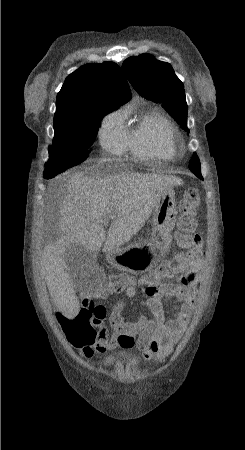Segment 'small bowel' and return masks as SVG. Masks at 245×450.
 <instances>
[{
	"label": "small bowel",
	"instance_id": "c3829d8e",
	"mask_svg": "<svg viewBox=\"0 0 245 450\" xmlns=\"http://www.w3.org/2000/svg\"><path fill=\"white\" fill-rule=\"evenodd\" d=\"M204 256L203 250H189L174 264L166 265L163 272L134 280L133 284L124 288L128 297H134L138 292L145 294L144 304L153 314V318L140 316L133 322H126L122 315L125 303L117 302L109 318L111 331H109L108 325L102 322L97 327V336L94 342L83 344L71 342L85 357L90 358L95 351L103 354L119 344L125 346L123 335L138 334L136 349L142 352L145 361L162 360L169 356L185 331L188 320L194 311L195 289L198 276L204 268ZM150 278L153 280L150 281ZM174 278L178 280L174 282ZM112 290L106 287L96 297H109ZM73 299L74 296L69 292L67 296L60 299L56 306L55 318L61 328L65 317L77 313L76 303ZM168 299H176L181 304L173 305L171 307L172 317L166 319L162 307L164 300Z\"/></svg>",
	"mask_w": 245,
	"mask_h": 450
}]
</instances>
